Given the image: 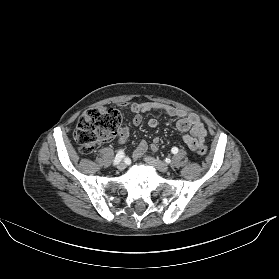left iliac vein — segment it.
<instances>
[{
	"mask_svg": "<svg viewBox=\"0 0 279 279\" xmlns=\"http://www.w3.org/2000/svg\"><path fill=\"white\" fill-rule=\"evenodd\" d=\"M144 161H146L148 164L154 166L156 169H158L160 172H168L169 171V166L157 159H154L149 156L144 157Z\"/></svg>",
	"mask_w": 279,
	"mask_h": 279,
	"instance_id": "1",
	"label": "left iliac vein"
}]
</instances>
